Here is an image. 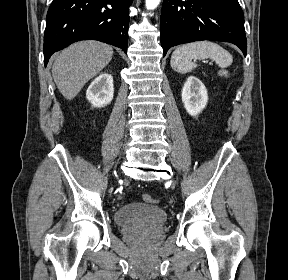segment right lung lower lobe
<instances>
[{
  "label": "right lung lower lobe",
  "instance_id": "right-lung-lower-lobe-1",
  "mask_svg": "<svg viewBox=\"0 0 288 280\" xmlns=\"http://www.w3.org/2000/svg\"><path fill=\"white\" fill-rule=\"evenodd\" d=\"M133 0H53L46 17L44 62L79 40H98L127 52Z\"/></svg>",
  "mask_w": 288,
  "mask_h": 280
}]
</instances>
